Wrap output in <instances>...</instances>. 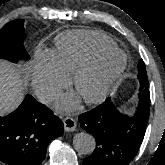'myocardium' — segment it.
Listing matches in <instances>:
<instances>
[{
  "label": "myocardium",
  "instance_id": "myocardium-1",
  "mask_svg": "<svg viewBox=\"0 0 165 165\" xmlns=\"http://www.w3.org/2000/svg\"><path fill=\"white\" fill-rule=\"evenodd\" d=\"M108 56H119L120 63L108 76L105 77L94 94L82 98L86 104H97L106 98L126 68V56L117 47L98 50L93 53L87 60H85L80 66H78L73 72L72 84L74 89L77 91L81 79L90 71H92L103 58Z\"/></svg>",
  "mask_w": 165,
  "mask_h": 165
}]
</instances>
